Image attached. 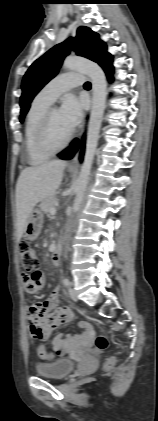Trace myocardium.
I'll return each mask as SVG.
<instances>
[{
  "instance_id": "obj_1",
  "label": "myocardium",
  "mask_w": 158,
  "mask_h": 421,
  "mask_svg": "<svg viewBox=\"0 0 158 421\" xmlns=\"http://www.w3.org/2000/svg\"><path fill=\"white\" fill-rule=\"evenodd\" d=\"M53 109L54 108H48L45 111L37 131V141L40 149L51 155L63 150L73 138V132L71 131L60 144H55L52 141L50 134V121Z\"/></svg>"
}]
</instances>
